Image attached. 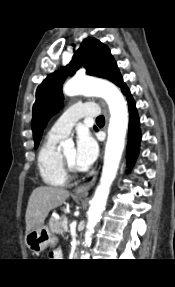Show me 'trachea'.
Wrapping results in <instances>:
<instances>
[{
    "mask_svg": "<svg viewBox=\"0 0 175 287\" xmlns=\"http://www.w3.org/2000/svg\"><path fill=\"white\" fill-rule=\"evenodd\" d=\"M96 122H97V123H104V122H105V119H104V117L101 115V116L97 117Z\"/></svg>",
    "mask_w": 175,
    "mask_h": 287,
    "instance_id": "3493384b",
    "label": "trachea"
}]
</instances>
